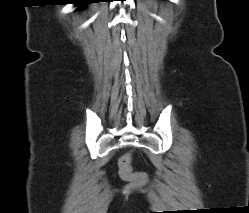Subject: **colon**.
Returning <instances> with one entry per match:
<instances>
[{
    "mask_svg": "<svg viewBox=\"0 0 249 213\" xmlns=\"http://www.w3.org/2000/svg\"><path fill=\"white\" fill-rule=\"evenodd\" d=\"M132 157L130 154H126L119 160L120 175L124 179H143L144 174L133 172L131 169Z\"/></svg>",
    "mask_w": 249,
    "mask_h": 213,
    "instance_id": "colon-1",
    "label": "colon"
}]
</instances>
